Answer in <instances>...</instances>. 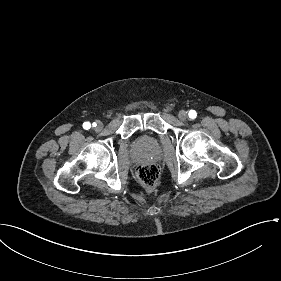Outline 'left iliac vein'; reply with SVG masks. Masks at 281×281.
Wrapping results in <instances>:
<instances>
[{
	"label": "left iliac vein",
	"mask_w": 281,
	"mask_h": 281,
	"mask_svg": "<svg viewBox=\"0 0 281 281\" xmlns=\"http://www.w3.org/2000/svg\"><path fill=\"white\" fill-rule=\"evenodd\" d=\"M178 118L181 120V121H186L187 118H188V114L186 111L182 110L178 113Z\"/></svg>",
	"instance_id": "1"
}]
</instances>
